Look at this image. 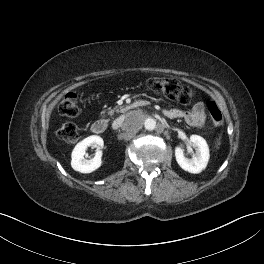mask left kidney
I'll return each instance as SVG.
<instances>
[{
    "label": "left kidney",
    "instance_id": "left-kidney-1",
    "mask_svg": "<svg viewBox=\"0 0 264 264\" xmlns=\"http://www.w3.org/2000/svg\"><path fill=\"white\" fill-rule=\"evenodd\" d=\"M190 142L196 148V153L191 159L184 156V151L180 147L175 148V157L179 166L190 173H200L206 168L209 161V147L204 138L198 135H191Z\"/></svg>",
    "mask_w": 264,
    "mask_h": 264
}]
</instances>
